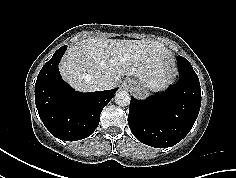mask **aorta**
Masks as SVG:
<instances>
[{"mask_svg":"<svg viewBox=\"0 0 236 178\" xmlns=\"http://www.w3.org/2000/svg\"><path fill=\"white\" fill-rule=\"evenodd\" d=\"M115 103L118 106H128L130 104V95L126 91H119L115 94Z\"/></svg>","mask_w":236,"mask_h":178,"instance_id":"762f6f07","label":"aorta"}]
</instances>
